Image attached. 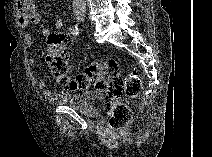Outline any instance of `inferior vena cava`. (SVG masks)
Segmentation results:
<instances>
[{"mask_svg":"<svg viewBox=\"0 0 212 157\" xmlns=\"http://www.w3.org/2000/svg\"><path fill=\"white\" fill-rule=\"evenodd\" d=\"M86 1L85 0H74L73 7L75 10L85 11L86 9Z\"/></svg>","mask_w":212,"mask_h":157,"instance_id":"inferior-vena-cava-1","label":"inferior vena cava"}]
</instances>
